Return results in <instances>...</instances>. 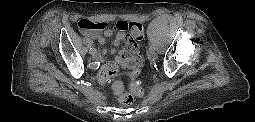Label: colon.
Returning a JSON list of instances; mask_svg holds the SVG:
<instances>
[{
  "label": "colon",
  "mask_w": 255,
  "mask_h": 122,
  "mask_svg": "<svg viewBox=\"0 0 255 122\" xmlns=\"http://www.w3.org/2000/svg\"><path fill=\"white\" fill-rule=\"evenodd\" d=\"M77 27L79 31L84 34L118 30L121 32H128L137 40H140L143 37V26L137 22L119 21L115 24H111L105 21L81 19L77 22ZM138 74L139 71L137 68H134L128 73V91H124L123 85L120 82H116L113 86V90L118 96L119 102L124 106H131L134 103L135 97L142 96L145 93V89L140 83ZM118 75V66L112 63H107L100 73V80L102 82L110 81Z\"/></svg>",
  "instance_id": "obj_1"
}]
</instances>
